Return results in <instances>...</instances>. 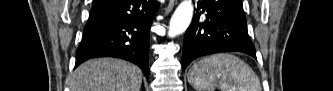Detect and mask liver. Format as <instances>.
<instances>
[{
    "instance_id": "obj_1",
    "label": "liver",
    "mask_w": 333,
    "mask_h": 91,
    "mask_svg": "<svg viewBox=\"0 0 333 91\" xmlns=\"http://www.w3.org/2000/svg\"><path fill=\"white\" fill-rule=\"evenodd\" d=\"M142 71L114 58L88 60L73 73L71 91H139Z\"/></svg>"
}]
</instances>
